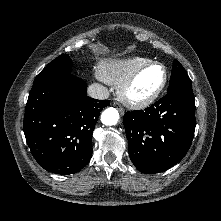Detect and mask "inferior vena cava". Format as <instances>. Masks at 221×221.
I'll return each mask as SVG.
<instances>
[{
	"label": "inferior vena cava",
	"mask_w": 221,
	"mask_h": 221,
	"mask_svg": "<svg viewBox=\"0 0 221 221\" xmlns=\"http://www.w3.org/2000/svg\"><path fill=\"white\" fill-rule=\"evenodd\" d=\"M88 95L95 99L104 100L109 97V92L105 86L94 83L88 87Z\"/></svg>",
	"instance_id": "inferior-vena-cava-1"
}]
</instances>
